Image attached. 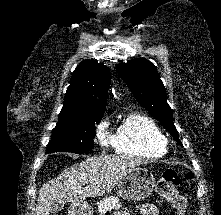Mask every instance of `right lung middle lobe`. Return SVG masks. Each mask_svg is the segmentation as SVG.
Returning a JSON list of instances; mask_svg holds the SVG:
<instances>
[{
    "label": "right lung middle lobe",
    "mask_w": 221,
    "mask_h": 215,
    "mask_svg": "<svg viewBox=\"0 0 221 215\" xmlns=\"http://www.w3.org/2000/svg\"><path fill=\"white\" fill-rule=\"evenodd\" d=\"M101 119L102 116L60 113L47 153L67 151L81 154L90 151L94 147L95 125Z\"/></svg>",
    "instance_id": "right-lung-middle-lobe-1"
}]
</instances>
